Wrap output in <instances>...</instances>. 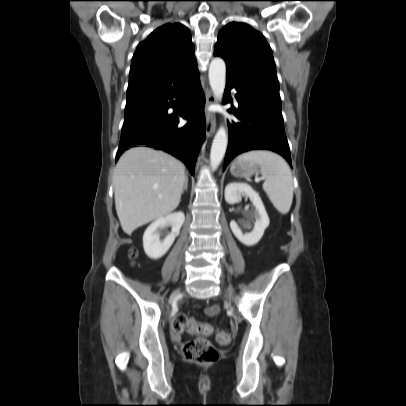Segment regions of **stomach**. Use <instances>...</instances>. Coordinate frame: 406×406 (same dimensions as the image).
Returning <instances> with one entry per match:
<instances>
[{"mask_svg":"<svg viewBox=\"0 0 406 406\" xmlns=\"http://www.w3.org/2000/svg\"><path fill=\"white\" fill-rule=\"evenodd\" d=\"M230 172L235 177L246 178L258 172V165L237 158L232 163Z\"/></svg>","mask_w":406,"mask_h":406,"instance_id":"1","label":"stomach"}]
</instances>
